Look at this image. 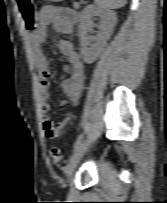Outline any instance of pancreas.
<instances>
[{
	"instance_id": "obj_1",
	"label": "pancreas",
	"mask_w": 167,
	"mask_h": 203,
	"mask_svg": "<svg viewBox=\"0 0 167 203\" xmlns=\"http://www.w3.org/2000/svg\"><path fill=\"white\" fill-rule=\"evenodd\" d=\"M74 7H75V8H78V7H79V4H78V3H74Z\"/></svg>"
}]
</instances>
